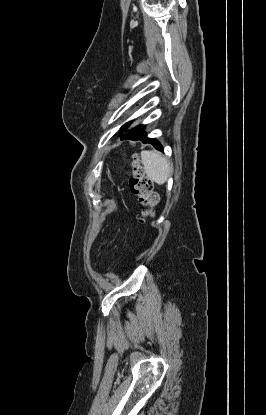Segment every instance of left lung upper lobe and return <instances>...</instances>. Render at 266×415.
I'll return each instance as SVG.
<instances>
[{"label": "left lung upper lobe", "instance_id": "5c2ea615", "mask_svg": "<svg viewBox=\"0 0 266 415\" xmlns=\"http://www.w3.org/2000/svg\"><path fill=\"white\" fill-rule=\"evenodd\" d=\"M130 123L131 122H128L125 125H123L121 127L120 131L121 132L125 131L129 127ZM142 134H145V126L144 125H139L135 128H132V129L128 130V133L124 134L122 139H126V138H129V137L133 138V137H136V136H139V135H142Z\"/></svg>", "mask_w": 266, "mask_h": 415}]
</instances>
